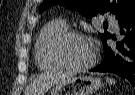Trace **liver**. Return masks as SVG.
I'll return each instance as SVG.
<instances>
[{
	"label": "liver",
	"mask_w": 135,
	"mask_h": 95,
	"mask_svg": "<svg viewBox=\"0 0 135 95\" xmlns=\"http://www.w3.org/2000/svg\"><path fill=\"white\" fill-rule=\"evenodd\" d=\"M72 72L50 71L40 74L28 86L25 95H44L52 86L58 85L66 79L72 77Z\"/></svg>",
	"instance_id": "liver-1"
}]
</instances>
